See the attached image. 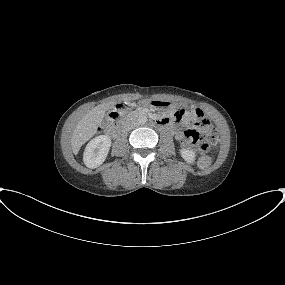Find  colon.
Instances as JSON below:
<instances>
[{
    "instance_id": "colon-1",
    "label": "colon",
    "mask_w": 285,
    "mask_h": 285,
    "mask_svg": "<svg viewBox=\"0 0 285 285\" xmlns=\"http://www.w3.org/2000/svg\"><path fill=\"white\" fill-rule=\"evenodd\" d=\"M122 106L123 104L119 105L118 108ZM174 116L176 120H183V119L192 120L197 125L203 128L209 126V119L202 114L197 115L196 111L193 109L177 110ZM185 138L189 143L196 145L201 151V155L198 160L200 168L202 169L209 168L212 163V158L207 153V151L210 148V145L216 143L218 139L217 132L215 130H210L206 135H202L198 129L190 128L185 132Z\"/></svg>"
}]
</instances>
